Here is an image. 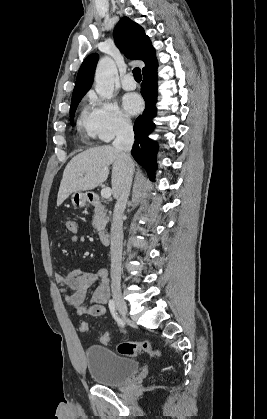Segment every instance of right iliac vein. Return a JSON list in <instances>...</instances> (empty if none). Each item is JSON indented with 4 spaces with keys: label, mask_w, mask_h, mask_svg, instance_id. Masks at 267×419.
<instances>
[{
    "label": "right iliac vein",
    "mask_w": 267,
    "mask_h": 419,
    "mask_svg": "<svg viewBox=\"0 0 267 419\" xmlns=\"http://www.w3.org/2000/svg\"><path fill=\"white\" fill-rule=\"evenodd\" d=\"M113 300L115 303V306L118 310V312L124 317H127V313H128V309H127V305L126 302L123 300L122 295L120 294V292L115 291L113 293Z\"/></svg>",
    "instance_id": "63e3f726"
}]
</instances>
